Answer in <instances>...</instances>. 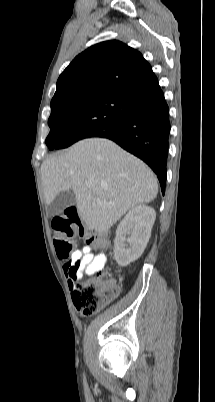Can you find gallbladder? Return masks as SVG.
Here are the masks:
<instances>
[{"instance_id": "bac80fb5", "label": "gallbladder", "mask_w": 215, "mask_h": 402, "mask_svg": "<svg viewBox=\"0 0 215 402\" xmlns=\"http://www.w3.org/2000/svg\"><path fill=\"white\" fill-rule=\"evenodd\" d=\"M76 203L75 195L72 191H62L55 199L48 205V214L50 216L56 215L63 209L73 206Z\"/></svg>"}]
</instances>
